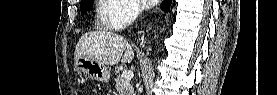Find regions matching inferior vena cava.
<instances>
[{
  "label": "inferior vena cava",
  "mask_w": 277,
  "mask_h": 95,
  "mask_svg": "<svg viewBox=\"0 0 277 95\" xmlns=\"http://www.w3.org/2000/svg\"><path fill=\"white\" fill-rule=\"evenodd\" d=\"M137 12H138V13L141 12V9H138Z\"/></svg>",
  "instance_id": "inferior-vena-cava-1"
}]
</instances>
